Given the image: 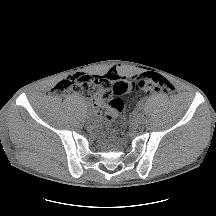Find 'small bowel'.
I'll return each instance as SVG.
<instances>
[{"mask_svg": "<svg viewBox=\"0 0 216 216\" xmlns=\"http://www.w3.org/2000/svg\"><path fill=\"white\" fill-rule=\"evenodd\" d=\"M106 78H108L110 81H117L120 80L121 78H123L122 76H120L117 71H108V73L106 75H104ZM104 100L101 98V96H96L94 98V110L96 113H100V107L103 105Z\"/></svg>", "mask_w": 216, "mask_h": 216, "instance_id": "c3829d8e", "label": "small bowel"}]
</instances>
